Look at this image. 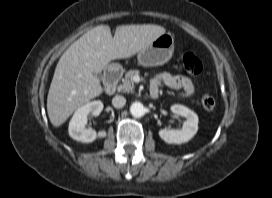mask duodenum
I'll return each instance as SVG.
<instances>
[{
    "label": "duodenum",
    "mask_w": 272,
    "mask_h": 198,
    "mask_svg": "<svg viewBox=\"0 0 272 198\" xmlns=\"http://www.w3.org/2000/svg\"><path fill=\"white\" fill-rule=\"evenodd\" d=\"M122 76V69L119 66L108 69L105 74V86L104 90L107 94L111 95L115 93L117 84Z\"/></svg>",
    "instance_id": "1"
}]
</instances>
